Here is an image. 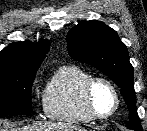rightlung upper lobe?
Listing matches in <instances>:
<instances>
[{
  "label": "right lung upper lobe",
  "mask_w": 147,
  "mask_h": 131,
  "mask_svg": "<svg viewBox=\"0 0 147 131\" xmlns=\"http://www.w3.org/2000/svg\"><path fill=\"white\" fill-rule=\"evenodd\" d=\"M49 41L12 43L0 52V71H33L49 51Z\"/></svg>",
  "instance_id": "obj_1"
}]
</instances>
